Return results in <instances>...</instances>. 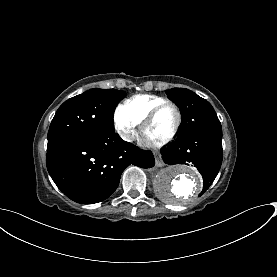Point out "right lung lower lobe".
<instances>
[{"mask_svg":"<svg viewBox=\"0 0 277 277\" xmlns=\"http://www.w3.org/2000/svg\"><path fill=\"white\" fill-rule=\"evenodd\" d=\"M154 163L151 152L123 141L114 132L73 136L47 146L46 164L54 183L82 204L107 199L130 164L151 168Z\"/></svg>","mask_w":277,"mask_h":277,"instance_id":"obj_1","label":"right lung lower lobe"}]
</instances>
